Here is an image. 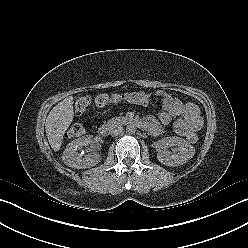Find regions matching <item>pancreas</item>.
<instances>
[{
	"instance_id": "cf45deb5",
	"label": "pancreas",
	"mask_w": 248,
	"mask_h": 248,
	"mask_svg": "<svg viewBox=\"0 0 248 248\" xmlns=\"http://www.w3.org/2000/svg\"><path fill=\"white\" fill-rule=\"evenodd\" d=\"M126 120H127L126 117H115V118L110 119V120L107 122V126H114V125H117V124H122V123H124Z\"/></svg>"
}]
</instances>
